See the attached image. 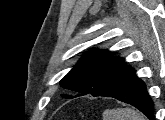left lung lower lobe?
<instances>
[{"instance_id": "obj_1", "label": "left lung lower lobe", "mask_w": 165, "mask_h": 120, "mask_svg": "<svg viewBox=\"0 0 165 120\" xmlns=\"http://www.w3.org/2000/svg\"><path fill=\"white\" fill-rule=\"evenodd\" d=\"M107 97L131 104L145 114L149 120H154L153 101L145 83L136 76L134 68H130L122 84Z\"/></svg>"}]
</instances>
